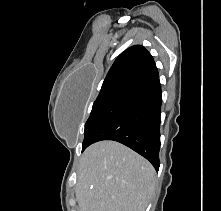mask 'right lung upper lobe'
Segmentation results:
<instances>
[{"label": "right lung upper lobe", "instance_id": "cb5924a9", "mask_svg": "<svg viewBox=\"0 0 221 211\" xmlns=\"http://www.w3.org/2000/svg\"><path fill=\"white\" fill-rule=\"evenodd\" d=\"M159 80L158 70L150 53L140 45L122 52L110 68L100 94L115 89H133Z\"/></svg>", "mask_w": 221, "mask_h": 211}]
</instances>
